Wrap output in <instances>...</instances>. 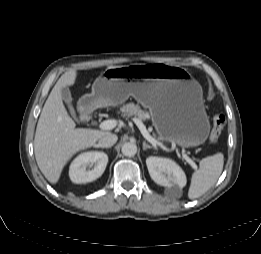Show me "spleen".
<instances>
[{"instance_id": "obj_1", "label": "spleen", "mask_w": 261, "mask_h": 254, "mask_svg": "<svg viewBox=\"0 0 261 254\" xmlns=\"http://www.w3.org/2000/svg\"><path fill=\"white\" fill-rule=\"evenodd\" d=\"M223 165L222 153L203 158L199 163V169L192 174L188 191L189 199H196L205 194L217 182Z\"/></svg>"}]
</instances>
